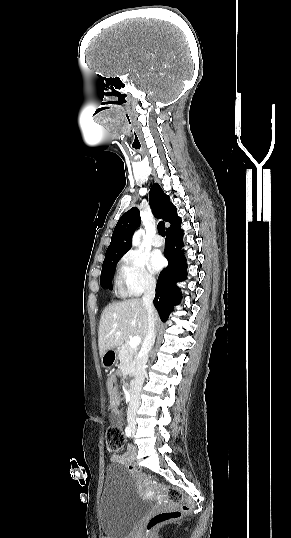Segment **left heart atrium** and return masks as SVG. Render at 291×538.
<instances>
[{
  "label": "left heart atrium",
  "instance_id": "1",
  "mask_svg": "<svg viewBox=\"0 0 291 538\" xmlns=\"http://www.w3.org/2000/svg\"><path fill=\"white\" fill-rule=\"evenodd\" d=\"M164 265V259L159 253H154L150 257L149 268L152 272H158Z\"/></svg>",
  "mask_w": 291,
  "mask_h": 538
}]
</instances>
